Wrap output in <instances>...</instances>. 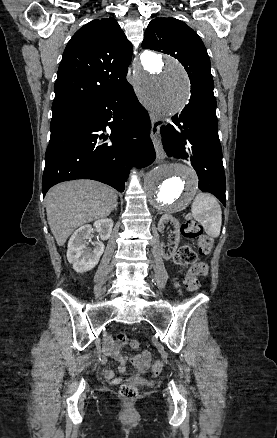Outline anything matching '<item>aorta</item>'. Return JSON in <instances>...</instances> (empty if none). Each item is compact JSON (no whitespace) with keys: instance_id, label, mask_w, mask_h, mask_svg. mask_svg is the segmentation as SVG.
Returning <instances> with one entry per match:
<instances>
[{"instance_id":"762f6f07","label":"aorta","mask_w":277,"mask_h":438,"mask_svg":"<svg viewBox=\"0 0 277 438\" xmlns=\"http://www.w3.org/2000/svg\"><path fill=\"white\" fill-rule=\"evenodd\" d=\"M137 95L157 116H172L186 105L189 84L182 65L172 57L145 52L134 70ZM147 201L154 211L171 214L186 208L197 190L193 169L181 162L162 164L145 176Z\"/></svg>"}]
</instances>
